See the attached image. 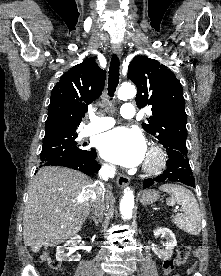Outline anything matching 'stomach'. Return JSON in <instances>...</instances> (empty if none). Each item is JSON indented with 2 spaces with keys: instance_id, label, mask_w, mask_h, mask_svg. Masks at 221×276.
Instances as JSON below:
<instances>
[{
  "instance_id": "0dacf381",
  "label": "stomach",
  "mask_w": 221,
  "mask_h": 276,
  "mask_svg": "<svg viewBox=\"0 0 221 276\" xmlns=\"http://www.w3.org/2000/svg\"><path fill=\"white\" fill-rule=\"evenodd\" d=\"M159 199V193L155 190H147L140 194V202L143 205L153 204Z\"/></svg>"
}]
</instances>
